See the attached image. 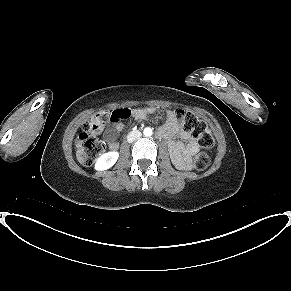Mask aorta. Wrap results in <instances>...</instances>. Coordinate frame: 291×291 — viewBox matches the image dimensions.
I'll list each match as a JSON object with an SVG mask.
<instances>
[{"label":"aorta","instance_id":"obj_1","mask_svg":"<svg viewBox=\"0 0 291 291\" xmlns=\"http://www.w3.org/2000/svg\"><path fill=\"white\" fill-rule=\"evenodd\" d=\"M143 134H144V136H146V137H150V136H152L153 131H152L151 128L146 127V128L144 129V131H143Z\"/></svg>","mask_w":291,"mask_h":291}]
</instances>
